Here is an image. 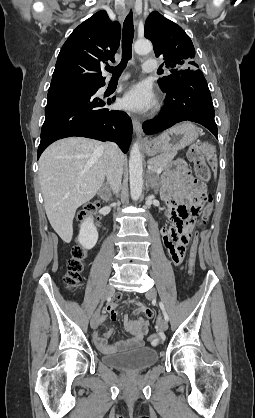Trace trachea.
<instances>
[{"label":"trachea","mask_w":255,"mask_h":418,"mask_svg":"<svg viewBox=\"0 0 255 418\" xmlns=\"http://www.w3.org/2000/svg\"><path fill=\"white\" fill-rule=\"evenodd\" d=\"M133 37H134V26H133V15H132V10H131L123 23L121 62L116 67H111V66L106 67V70L112 73L114 77L120 76L122 71L125 69L127 62L132 57Z\"/></svg>","instance_id":"1"}]
</instances>
